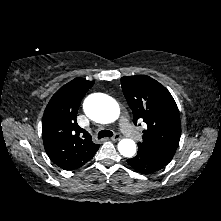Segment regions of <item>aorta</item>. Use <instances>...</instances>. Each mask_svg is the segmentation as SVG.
I'll return each mask as SVG.
<instances>
[{"label": "aorta", "mask_w": 221, "mask_h": 221, "mask_svg": "<svg viewBox=\"0 0 221 221\" xmlns=\"http://www.w3.org/2000/svg\"><path fill=\"white\" fill-rule=\"evenodd\" d=\"M84 112L92 120L107 124L115 121L120 113L118 103L104 94H92L84 102ZM136 144L131 139H122L118 150L124 157L130 158L136 153Z\"/></svg>", "instance_id": "aorta-1"}]
</instances>
